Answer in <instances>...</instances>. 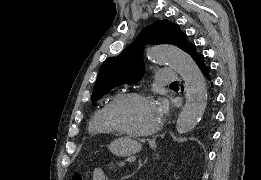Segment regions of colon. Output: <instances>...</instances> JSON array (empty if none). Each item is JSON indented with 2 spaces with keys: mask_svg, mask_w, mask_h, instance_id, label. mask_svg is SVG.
<instances>
[{
  "mask_svg": "<svg viewBox=\"0 0 261 180\" xmlns=\"http://www.w3.org/2000/svg\"><path fill=\"white\" fill-rule=\"evenodd\" d=\"M73 179L74 180H82L83 179V177H82V175H75L74 177H73Z\"/></svg>",
  "mask_w": 261,
  "mask_h": 180,
  "instance_id": "colon-1",
  "label": "colon"
}]
</instances>
